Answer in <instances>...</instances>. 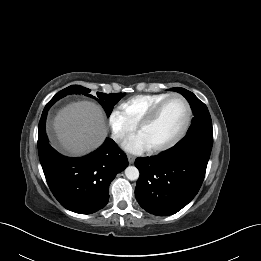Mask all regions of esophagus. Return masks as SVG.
<instances>
[{
    "label": "esophagus",
    "mask_w": 261,
    "mask_h": 261,
    "mask_svg": "<svg viewBox=\"0 0 261 261\" xmlns=\"http://www.w3.org/2000/svg\"><path fill=\"white\" fill-rule=\"evenodd\" d=\"M127 158H128V162H129L130 164H133V163H134V161H135V157H134V156L128 155Z\"/></svg>",
    "instance_id": "obj_1"
}]
</instances>
